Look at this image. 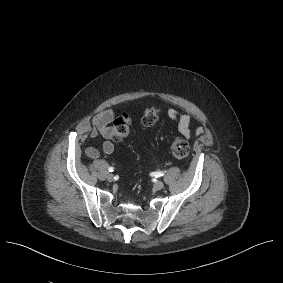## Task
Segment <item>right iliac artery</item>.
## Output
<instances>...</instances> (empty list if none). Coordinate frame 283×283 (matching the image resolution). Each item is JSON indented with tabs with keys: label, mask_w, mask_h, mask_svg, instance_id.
<instances>
[{
	"label": "right iliac artery",
	"mask_w": 283,
	"mask_h": 283,
	"mask_svg": "<svg viewBox=\"0 0 283 283\" xmlns=\"http://www.w3.org/2000/svg\"><path fill=\"white\" fill-rule=\"evenodd\" d=\"M108 171H109V172H113V171H114V168H113V167H109V168H108Z\"/></svg>",
	"instance_id": "obj_1"
}]
</instances>
